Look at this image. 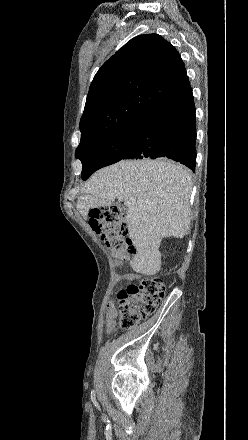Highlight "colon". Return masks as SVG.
Segmentation results:
<instances>
[{
	"label": "colon",
	"mask_w": 248,
	"mask_h": 440,
	"mask_svg": "<svg viewBox=\"0 0 248 440\" xmlns=\"http://www.w3.org/2000/svg\"><path fill=\"white\" fill-rule=\"evenodd\" d=\"M91 228L101 235L113 255L125 259L134 253L127 238V226L122 212L115 206L94 209L90 212ZM166 290L162 279L146 276L138 284L129 285L117 294L119 324L123 329L137 326L143 319L152 315L164 297Z\"/></svg>",
	"instance_id": "obj_1"
}]
</instances>
